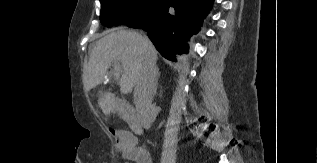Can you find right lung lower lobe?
Here are the masks:
<instances>
[{"label": "right lung lower lobe", "mask_w": 317, "mask_h": 163, "mask_svg": "<svg viewBox=\"0 0 317 163\" xmlns=\"http://www.w3.org/2000/svg\"><path fill=\"white\" fill-rule=\"evenodd\" d=\"M214 0H162L146 17L129 23L148 32L161 55L175 61L176 53L188 51L185 40L196 34ZM174 8V12L170 8Z\"/></svg>", "instance_id": "obj_1"}]
</instances>
